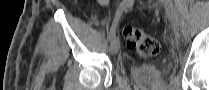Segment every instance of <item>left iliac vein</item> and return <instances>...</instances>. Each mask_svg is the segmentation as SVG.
I'll list each match as a JSON object with an SVG mask.
<instances>
[{"mask_svg": "<svg viewBox=\"0 0 209 90\" xmlns=\"http://www.w3.org/2000/svg\"><path fill=\"white\" fill-rule=\"evenodd\" d=\"M163 3L165 5L167 16L174 22V24H172V32H179V24H181V19L177 9L175 8V5L171 0H164Z\"/></svg>", "mask_w": 209, "mask_h": 90, "instance_id": "4c4485c4", "label": "left iliac vein"}]
</instances>
